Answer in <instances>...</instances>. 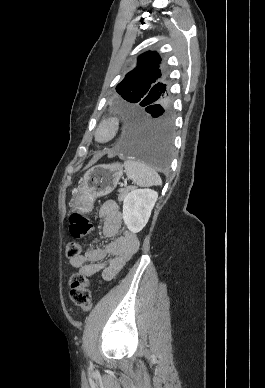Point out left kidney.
I'll return each instance as SVG.
<instances>
[{"mask_svg":"<svg viewBox=\"0 0 265 388\" xmlns=\"http://www.w3.org/2000/svg\"><path fill=\"white\" fill-rule=\"evenodd\" d=\"M158 194L154 190H131L124 198L123 220L132 234H138L146 226L157 202Z\"/></svg>","mask_w":265,"mask_h":388,"instance_id":"1","label":"left kidney"}]
</instances>
